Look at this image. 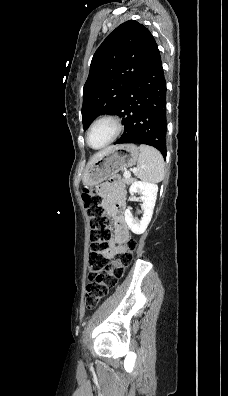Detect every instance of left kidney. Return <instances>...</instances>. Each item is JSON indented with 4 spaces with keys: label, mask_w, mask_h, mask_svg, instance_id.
Instances as JSON below:
<instances>
[{
    "label": "left kidney",
    "mask_w": 228,
    "mask_h": 396,
    "mask_svg": "<svg viewBox=\"0 0 228 396\" xmlns=\"http://www.w3.org/2000/svg\"><path fill=\"white\" fill-rule=\"evenodd\" d=\"M129 191L131 195H134L136 193L142 194L141 198L143 200V216L141 220H138L133 217L130 208H127L124 214L125 221L133 233L142 234L151 221L153 209L157 198L158 186L157 184L149 182L135 181L130 186Z\"/></svg>",
    "instance_id": "1"
}]
</instances>
